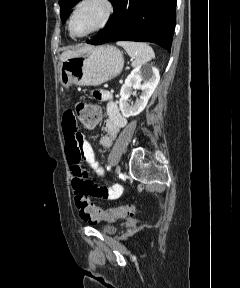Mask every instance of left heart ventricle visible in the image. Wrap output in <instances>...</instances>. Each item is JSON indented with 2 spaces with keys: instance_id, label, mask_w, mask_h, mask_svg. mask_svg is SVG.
Returning <instances> with one entry per match:
<instances>
[{
  "instance_id": "left-heart-ventricle-1",
  "label": "left heart ventricle",
  "mask_w": 240,
  "mask_h": 288,
  "mask_svg": "<svg viewBox=\"0 0 240 288\" xmlns=\"http://www.w3.org/2000/svg\"><path fill=\"white\" fill-rule=\"evenodd\" d=\"M104 15V7L99 2L93 1L84 4L77 11L72 30L77 35H83L97 27Z\"/></svg>"
}]
</instances>
